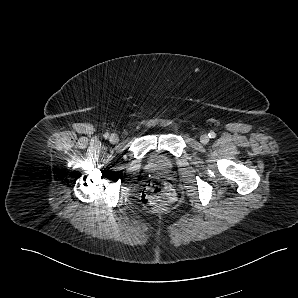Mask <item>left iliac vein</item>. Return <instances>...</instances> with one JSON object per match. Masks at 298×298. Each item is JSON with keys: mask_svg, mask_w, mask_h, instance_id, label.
I'll return each mask as SVG.
<instances>
[{"mask_svg": "<svg viewBox=\"0 0 298 298\" xmlns=\"http://www.w3.org/2000/svg\"><path fill=\"white\" fill-rule=\"evenodd\" d=\"M200 142H201L202 144H207V143L209 142V137H208V135H206V134L202 135V136L200 137Z\"/></svg>", "mask_w": 298, "mask_h": 298, "instance_id": "left-iliac-vein-1", "label": "left iliac vein"}]
</instances>
